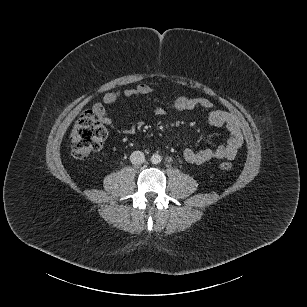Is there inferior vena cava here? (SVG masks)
<instances>
[{"label":"inferior vena cava","mask_w":307,"mask_h":307,"mask_svg":"<svg viewBox=\"0 0 307 307\" xmlns=\"http://www.w3.org/2000/svg\"><path fill=\"white\" fill-rule=\"evenodd\" d=\"M130 160L134 165L142 164L145 161V155L141 151H134L130 155Z\"/></svg>","instance_id":"1"}]
</instances>
